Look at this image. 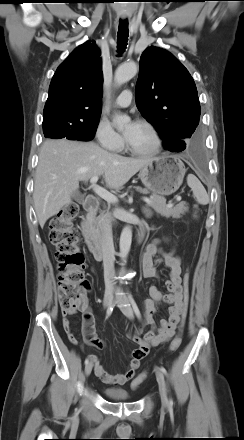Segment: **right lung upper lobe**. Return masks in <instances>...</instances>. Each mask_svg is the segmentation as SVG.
Returning <instances> with one entry per match:
<instances>
[{
    "mask_svg": "<svg viewBox=\"0 0 244 440\" xmlns=\"http://www.w3.org/2000/svg\"><path fill=\"white\" fill-rule=\"evenodd\" d=\"M102 62L96 44L77 47L56 70L43 111V121L86 124L100 118Z\"/></svg>",
    "mask_w": 244,
    "mask_h": 440,
    "instance_id": "1",
    "label": "right lung upper lobe"
}]
</instances>
